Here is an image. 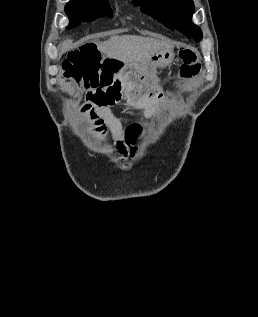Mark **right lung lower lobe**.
<instances>
[{"label": "right lung lower lobe", "instance_id": "98d812e1", "mask_svg": "<svg viewBox=\"0 0 258 317\" xmlns=\"http://www.w3.org/2000/svg\"><path fill=\"white\" fill-rule=\"evenodd\" d=\"M68 15V14H67ZM69 19H70V25L69 27H73L75 26L76 24H78L79 22H84L83 20L79 19L78 17L76 16H73V15H68Z\"/></svg>", "mask_w": 258, "mask_h": 317}]
</instances>
